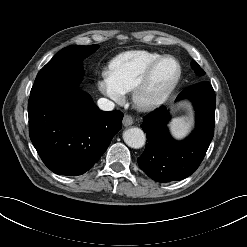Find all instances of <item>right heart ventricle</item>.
I'll return each mask as SVG.
<instances>
[{
  "instance_id": "1",
  "label": "right heart ventricle",
  "mask_w": 247,
  "mask_h": 247,
  "mask_svg": "<svg viewBox=\"0 0 247 247\" xmlns=\"http://www.w3.org/2000/svg\"><path fill=\"white\" fill-rule=\"evenodd\" d=\"M161 55L147 50L128 51L118 55L110 65V76L124 93L133 90L147 68Z\"/></svg>"
}]
</instances>
